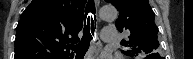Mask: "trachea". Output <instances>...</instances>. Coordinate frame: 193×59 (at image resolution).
<instances>
[{"instance_id":"trachea-1","label":"trachea","mask_w":193,"mask_h":59,"mask_svg":"<svg viewBox=\"0 0 193 59\" xmlns=\"http://www.w3.org/2000/svg\"><path fill=\"white\" fill-rule=\"evenodd\" d=\"M89 13L91 15H88ZM93 16H94V19H93ZM94 25L96 27L95 4L93 1H90L87 3L86 9H85L83 37L78 44L71 45L69 47L77 55H84L87 52L90 45V41L93 39V36H94V31H95Z\"/></svg>"}]
</instances>
